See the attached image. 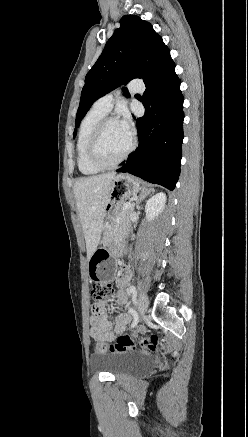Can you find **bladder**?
<instances>
[{"instance_id":"31cf9c89","label":"bladder","mask_w":248,"mask_h":437,"mask_svg":"<svg viewBox=\"0 0 248 437\" xmlns=\"http://www.w3.org/2000/svg\"><path fill=\"white\" fill-rule=\"evenodd\" d=\"M90 362L94 368L114 376L145 371L153 365L151 356L142 352L96 353L90 356Z\"/></svg>"}]
</instances>
